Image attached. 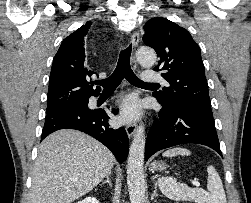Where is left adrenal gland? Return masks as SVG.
Listing matches in <instances>:
<instances>
[{
  "mask_svg": "<svg viewBox=\"0 0 251 203\" xmlns=\"http://www.w3.org/2000/svg\"><path fill=\"white\" fill-rule=\"evenodd\" d=\"M154 197H158V194H157V184H155L154 191H153V193L151 195V200H153Z\"/></svg>",
  "mask_w": 251,
  "mask_h": 203,
  "instance_id": "obj_1",
  "label": "left adrenal gland"
}]
</instances>
